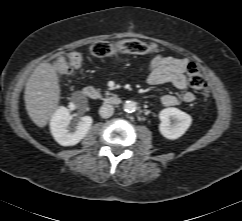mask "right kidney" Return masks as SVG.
Here are the masks:
<instances>
[{
    "instance_id": "1",
    "label": "right kidney",
    "mask_w": 242,
    "mask_h": 221,
    "mask_svg": "<svg viewBox=\"0 0 242 221\" xmlns=\"http://www.w3.org/2000/svg\"><path fill=\"white\" fill-rule=\"evenodd\" d=\"M92 118L84 116L78 122L75 131L69 130L70 112L66 107H59L51 117L50 130L54 139L62 146H74L88 133L92 125Z\"/></svg>"
}]
</instances>
